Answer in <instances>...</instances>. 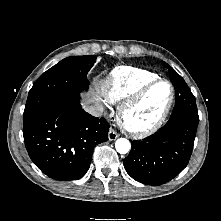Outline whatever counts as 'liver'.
Returning <instances> with one entry per match:
<instances>
[{
    "mask_svg": "<svg viewBox=\"0 0 221 221\" xmlns=\"http://www.w3.org/2000/svg\"><path fill=\"white\" fill-rule=\"evenodd\" d=\"M92 101H93V98H91V94L87 95L86 98L82 102L83 107H87V105L90 104Z\"/></svg>",
    "mask_w": 221,
    "mask_h": 221,
    "instance_id": "1",
    "label": "liver"
}]
</instances>
